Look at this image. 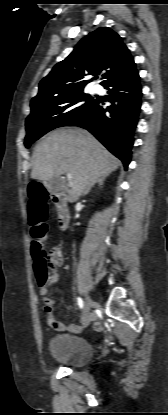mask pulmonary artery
I'll return each mask as SVG.
<instances>
[{
	"instance_id": "obj_1",
	"label": "pulmonary artery",
	"mask_w": 168,
	"mask_h": 415,
	"mask_svg": "<svg viewBox=\"0 0 168 415\" xmlns=\"http://www.w3.org/2000/svg\"><path fill=\"white\" fill-rule=\"evenodd\" d=\"M93 91H94V92H96V93H98V92H100V91H101V87H100L99 85H95V86L93 87Z\"/></svg>"
}]
</instances>
